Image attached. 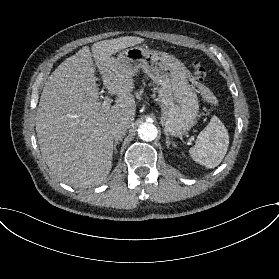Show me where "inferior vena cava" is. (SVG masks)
Listing matches in <instances>:
<instances>
[{
    "label": "inferior vena cava",
    "mask_w": 279,
    "mask_h": 279,
    "mask_svg": "<svg viewBox=\"0 0 279 279\" xmlns=\"http://www.w3.org/2000/svg\"><path fill=\"white\" fill-rule=\"evenodd\" d=\"M128 126H126L123 123H119L114 125L111 130H110V134L113 137V139L115 140H121L127 133L128 130Z\"/></svg>",
    "instance_id": "inferior-vena-cava-1"
}]
</instances>
